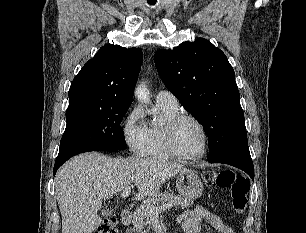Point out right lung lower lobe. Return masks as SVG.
<instances>
[{
  "label": "right lung lower lobe",
  "instance_id": "right-lung-lower-lobe-1",
  "mask_svg": "<svg viewBox=\"0 0 306 233\" xmlns=\"http://www.w3.org/2000/svg\"><path fill=\"white\" fill-rule=\"evenodd\" d=\"M103 151H108V150H103ZM86 152V151H84ZM79 153H82V152H78V153H75L73 155H70L68 157H65L63 159H59V160H56L55 161V165H54V175L56 174V171L58 170V168L64 163L66 162L69 158H71L72 156L76 155V154H79Z\"/></svg>",
  "mask_w": 306,
  "mask_h": 233
}]
</instances>
